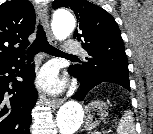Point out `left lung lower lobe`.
I'll list each match as a JSON object with an SVG mask.
<instances>
[{
  "label": "left lung lower lobe",
  "instance_id": "obj_1",
  "mask_svg": "<svg viewBox=\"0 0 153 134\" xmlns=\"http://www.w3.org/2000/svg\"><path fill=\"white\" fill-rule=\"evenodd\" d=\"M69 72L73 74L81 83L80 90L73 96L74 99L82 101L86 94L93 89L95 86L101 84V82H96L94 80L85 79L80 76L78 73L74 72L71 68H69ZM128 91H130V87H126Z\"/></svg>",
  "mask_w": 153,
  "mask_h": 134
}]
</instances>
